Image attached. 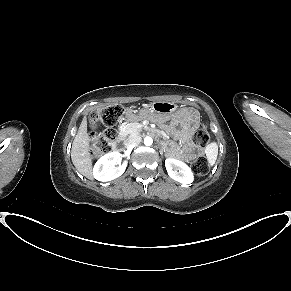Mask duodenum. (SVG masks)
<instances>
[{"label":"duodenum","mask_w":291,"mask_h":291,"mask_svg":"<svg viewBox=\"0 0 291 291\" xmlns=\"http://www.w3.org/2000/svg\"><path fill=\"white\" fill-rule=\"evenodd\" d=\"M134 128H141V125H132L131 127L127 128V131H131V129ZM143 131H146V133H150V130H146V128H143ZM123 133L124 130L119 131V136L116 137V141H119V139L122 140L120 141V145H116V150H121V146H125L126 144L125 141H127V136H122ZM151 136H155V133H151ZM157 139H160V143H166V140H164V138H161V136H157Z\"/></svg>","instance_id":"duodenum-1"}]
</instances>
